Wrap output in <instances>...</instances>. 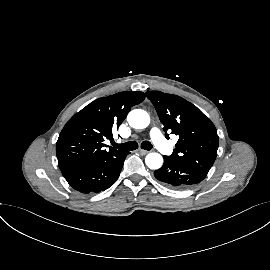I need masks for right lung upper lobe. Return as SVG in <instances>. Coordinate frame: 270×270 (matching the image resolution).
Here are the masks:
<instances>
[{"label": "right lung upper lobe", "instance_id": "1", "mask_svg": "<svg viewBox=\"0 0 270 270\" xmlns=\"http://www.w3.org/2000/svg\"><path fill=\"white\" fill-rule=\"evenodd\" d=\"M145 93L119 92L99 98L76 113L64 126L56 143L61 172L123 152L106 150V139L119 127L132 106L141 103Z\"/></svg>", "mask_w": 270, "mask_h": 270}]
</instances>
